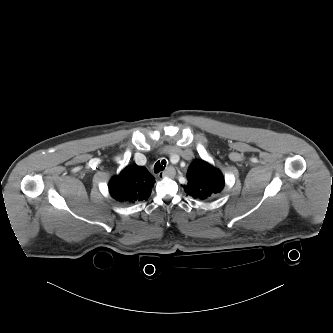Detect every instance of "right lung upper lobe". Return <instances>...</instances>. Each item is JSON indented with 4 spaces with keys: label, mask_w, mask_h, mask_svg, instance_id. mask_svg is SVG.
Wrapping results in <instances>:
<instances>
[{
    "label": "right lung upper lobe",
    "mask_w": 333,
    "mask_h": 333,
    "mask_svg": "<svg viewBox=\"0 0 333 333\" xmlns=\"http://www.w3.org/2000/svg\"><path fill=\"white\" fill-rule=\"evenodd\" d=\"M154 176L145 167L136 164L127 166L108 184L110 195L126 203L147 200L154 186Z\"/></svg>",
    "instance_id": "1"
}]
</instances>
